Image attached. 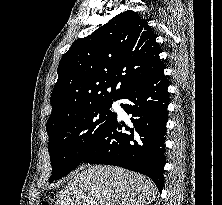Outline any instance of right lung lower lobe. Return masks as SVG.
<instances>
[{
    "label": "right lung lower lobe",
    "mask_w": 222,
    "mask_h": 205,
    "mask_svg": "<svg viewBox=\"0 0 222 205\" xmlns=\"http://www.w3.org/2000/svg\"><path fill=\"white\" fill-rule=\"evenodd\" d=\"M167 87L164 68L131 86L121 97L129 102L121 107L132 115V126H127L116 114L93 141L83 161L139 172L151 178L161 191L169 104Z\"/></svg>",
    "instance_id": "right-lung-lower-lobe-1"
}]
</instances>
